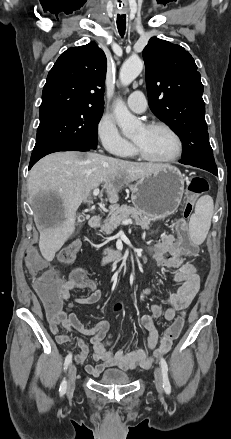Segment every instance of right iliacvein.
<instances>
[{"label":"right iliac vein","mask_w":231,"mask_h":439,"mask_svg":"<svg viewBox=\"0 0 231 439\" xmlns=\"http://www.w3.org/2000/svg\"><path fill=\"white\" fill-rule=\"evenodd\" d=\"M77 368L75 364L71 363L68 370V383H67V393L72 394L75 388V378H76Z\"/></svg>","instance_id":"63e3f726"}]
</instances>
